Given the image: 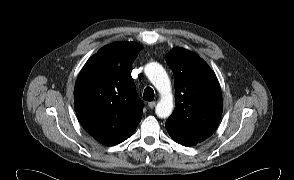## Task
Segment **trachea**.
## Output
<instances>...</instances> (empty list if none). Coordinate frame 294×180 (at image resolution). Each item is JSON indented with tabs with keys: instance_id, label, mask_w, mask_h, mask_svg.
I'll list each match as a JSON object with an SVG mask.
<instances>
[{
	"instance_id": "obj_1",
	"label": "trachea",
	"mask_w": 294,
	"mask_h": 180,
	"mask_svg": "<svg viewBox=\"0 0 294 180\" xmlns=\"http://www.w3.org/2000/svg\"><path fill=\"white\" fill-rule=\"evenodd\" d=\"M143 99L146 101L154 100V90L151 87H146L143 94Z\"/></svg>"
}]
</instances>
